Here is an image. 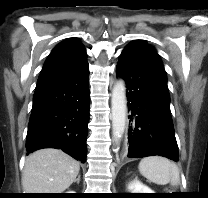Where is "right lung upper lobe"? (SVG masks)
<instances>
[{
	"label": "right lung upper lobe",
	"instance_id": "right-lung-upper-lobe-1",
	"mask_svg": "<svg viewBox=\"0 0 208 198\" xmlns=\"http://www.w3.org/2000/svg\"><path fill=\"white\" fill-rule=\"evenodd\" d=\"M86 56V51L78 39L62 41L49 54L36 87L73 75L88 64Z\"/></svg>",
	"mask_w": 208,
	"mask_h": 198
}]
</instances>
